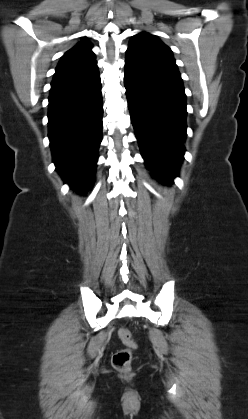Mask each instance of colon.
<instances>
[{
	"label": "colon",
	"instance_id": "obj_1",
	"mask_svg": "<svg viewBox=\"0 0 248 419\" xmlns=\"http://www.w3.org/2000/svg\"><path fill=\"white\" fill-rule=\"evenodd\" d=\"M118 335L125 348L116 351L112 356L113 367L120 372H128L131 367L133 351L137 348V343L129 330L121 328Z\"/></svg>",
	"mask_w": 248,
	"mask_h": 419
}]
</instances>
